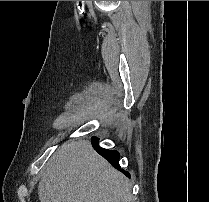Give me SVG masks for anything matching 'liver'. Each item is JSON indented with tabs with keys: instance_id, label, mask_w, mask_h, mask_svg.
<instances>
[{
	"instance_id": "1",
	"label": "liver",
	"mask_w": 209,
	"mask_h": 202,
	"mask_svg": "<svg viewBox=\"0 0 209 202\" xmlns=\"http://www.w3.org/2000/svg\"><path fill=\"white\" fill-rule=\"evenodd\" d=\"M41 202H134L131 184L88 141L61 146L41 171Z\"/></svg>"
}]
</instances>
